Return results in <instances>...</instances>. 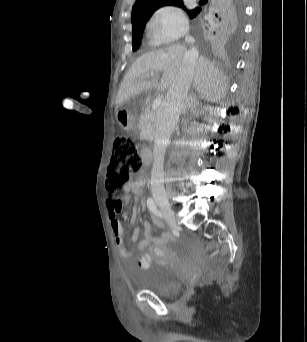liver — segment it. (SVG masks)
Wrapping results in <instances>:
<instances>
[{"label": "liver", "instance_id": "1", "mask_svg": "<svg viewBox=\"0 0 307 342\" xmlns=\"http://www.w3.org/2000/svg\"><path fill=\"white\" fill-rule=\"evenodd\" d=\"M186 52H188L187 48L180 44H164L163 50L142 54L136 62H133L120 84L116 108H120L121 104L130 100L132 96H138L145 90L171 88ZM147 74H162V78L160 82L155 78L145 80ZM193 82L201 98H205L208 102H218L221 98H225L228 90L227 76L215 68L214 64H210L204 56L196 58Z\"/></svg>", "mask_w": 307, "mask_h": 342}]
</instances>
